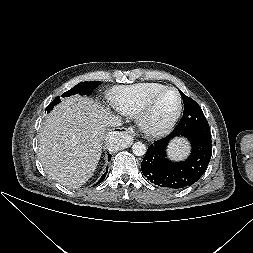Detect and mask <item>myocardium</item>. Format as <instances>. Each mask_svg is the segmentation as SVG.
<instances>
[{
  "label": "myocardium",
  "instance_id": "f54148a6",
  "mask_svg": "<svg viewBox=\"0 0 253 253\" xmlns=\"http://www.w3.org/2000/svg\"><path fill=\"white\" fill-rule=\"evenodd\" d=\"M166 91H174L178 98V105L172 117L162 125L153 126L150 124L148 117L155 101ZM182 111V96L175 87H164L151 94L143 103L138 115L136 116L137 124L142 132L151 137H158L167 133L177 122Z\"/></svg>",
  "mask_w": 253,
  "mask_h": 253
}]
</instances>
